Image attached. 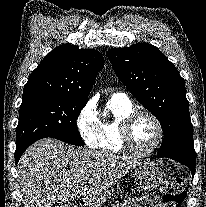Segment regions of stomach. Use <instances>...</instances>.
<instances>
[{"label": "stomach", "instance_id": "stomach-1", "mask_svg": "<svg viewBox=\"0 0 206 207\" xmlns=\"http://www.w3.org/2000/svg\"><path fill=\"white\" fill-rule=\"evenodd\" d=\"M135 179L140 188L154 190L163 181V174L154 164L144 161L136 166Z\"/></svg>", "mask_w": 206, "mask_h": 207}]
</instances>
